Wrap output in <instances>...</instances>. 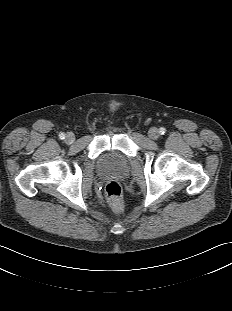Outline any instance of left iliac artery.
<instances>
[{
    "label": "left iliac artery",
    "mask_w": 232,
    "mask_h": 311,
    "mask_svg": "<svg viewBox=\"0 0 232 311\" xmlns=\"http://www.w3.org/2000/svg\"><path fill=\"white\" fill-rule=\"evenodd\" d=\"M159 132H160V134H164L165 132H166V129L164 128V127H161L160 129H159Z\"/></svg>",
    "instance_id": "left-iliac-artery-1"
}]
</instances>
